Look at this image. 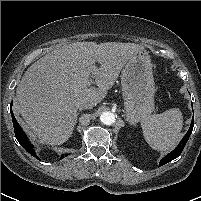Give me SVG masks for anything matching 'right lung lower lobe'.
<instances>
[{"label": "right lung lower lobe", "mask_w": 201, "mask_h": 201, "mask_svg": "<svg viewBox=\"0 0 201 201\" xmlns=\"http://www.w3.org/2000/svg\"><path fill=\"white\" fill-rule=\"evenodd\" d=\"M11 105H12V102H11ZM10 111H11L12 122H13V126H14V132H15L16 139L28 153H30L33 157H36L37 159H39V157L37 156V154L35 152L34 146L31 144L27 135L25 134V132L22 130V128L18 124V122L12 112L11 106H10ZM66 156H68V154H62L61 159Z\"/></svg>", "instance_id": "obj_1"}]
</instances>
